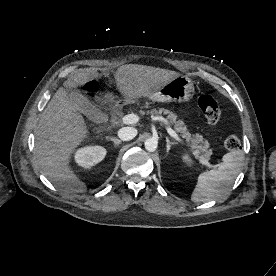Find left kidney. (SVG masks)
<instances>
[{
    "label": "left kidney",
    "instance_id": "left-kidney-1",
    "mask_svg": "<svg viewBox=\"0 0 276 276\" xmlns=\"http://www.w3.org/2000/svg\"><path fill=\"white\" fill-rule=\"evenodd\" d=\"M182 159L186 162V163H191V159L189 158V156H187V155H184L183 157H182Z\"/></svg>",
    "mask_w": 276,
    "mask_h": 276
}]
</instances>
